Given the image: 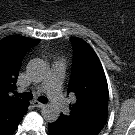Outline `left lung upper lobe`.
<instances>
[{
  "instance_id": "obj_1",
  "label": "left lung upper lobe",
  "mask_w": 135,
  "mask_h": 135,
  "mask_svg": "<svg viewBox=\"0 0 135 135\" xmlns=\"http://www.w3.org/2000/svg\"><path fill=\"white\" fill-rule=\"evenodd\" d=\"M73 68L68 92L76 95L69 115L57 121L82 135H97L107 119L108 85L102 65L92 47L82 39L71 38Z\"/></svg>"
}]
</instances>
